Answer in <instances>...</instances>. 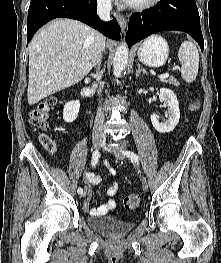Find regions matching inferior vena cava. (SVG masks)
<instances>
[{
    "label": "inferior vena cava",
    "instance_id": "602c4592",
    "mask_svg": "<svg viewBox=\"0 0 221 263\" xmlns=\"http://www.w3.org/2000/svg\"><path fill=\"white\" fill-rule=\"evenodd\" d=\"M112 6H111V0H97V13L103 21H109L111 16ZM97 49H98V56L95 61V66H98L101 64V58H102V53L105 50V39L102 35H99L97 37ZM99 71V70H98ZM102 73H97L96 77L99 79L101 78ZM99 94L102 92V87L99 88ZM104 111L102 107H98L96 117H95V123L93 127V136L94 137H99L102 139L106 138V134L104 132Z\"/></svg>",
    "mask_w": 221,
    "mask_h": 263
}]
</instances>
